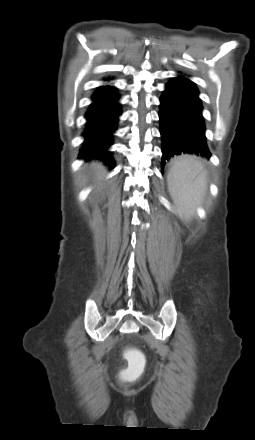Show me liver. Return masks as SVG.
Segmentation results:
<instances>
[{
	"instance_id": "obj_1",
	"label": "liver",
	"mask_w": 255,
	"mask_h": 440,
	"mask_svg": "<svg viewBox=\"0 0 255 440\" xmlns=\"http://www.w3.org/2000/svg\"><path fill=\"white\" fill-rule=\"evenodd\" d=\"M92 167L93 169L97 170L98 178L101 179L103 173L105 172L104 167L100 163H92Z\"/></svg>"
}]
</instances>
